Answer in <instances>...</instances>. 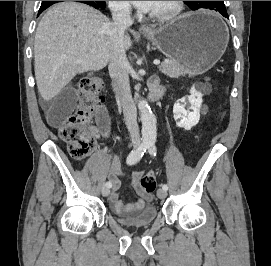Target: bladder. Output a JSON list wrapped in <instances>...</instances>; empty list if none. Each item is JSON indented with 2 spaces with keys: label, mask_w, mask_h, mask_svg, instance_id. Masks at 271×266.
Wrapping results in <instances>:
<instances>
[{
  "label": "bladder",
  "mask_w": 271,
  "mask_h": 266,
  "mask_svg": "<svg viewBox=\"0 0 271 266\" xmlns=\"http://www.w3.org/2000/svg\"><path fill=\"white\" fill-rule=\"evenodd\" d=\"M157 217V209L155 206L149 205L138 211L135 215L130 217L117 216L119 223L127 226H148L153 223Z\"/></svg>",
  "instance_id": "bladder-1"
}]
</instances>
